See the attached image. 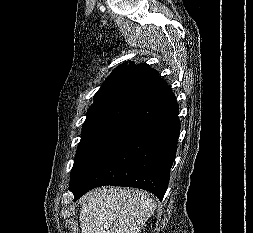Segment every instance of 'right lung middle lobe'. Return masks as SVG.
<instances>
[{
  "mask_svg": "<svg viewBox=\"0 0 253 233\" xmlns=\"http://www.w3.org/2000/svg\"><path fill=\"white\" fill-rule=\"evenodd\" d=\"M136 102L126 100L107 101L93 104L87 111L81 141L71 174L94 150L101 140L121 121Z\"/></svg>",
  "mask_w": 253,
  "mask_h": 233,
  "instance_id": "right-lung-middle-lobe-1",
  "label": "right lung middle lobe"
}]
</instances>
